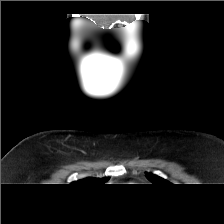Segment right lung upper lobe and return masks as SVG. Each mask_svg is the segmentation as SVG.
I'll return each mask as SVG.
<instances>
[{
  "label": "right lung upper lobe",
  "instance_id": "obj_1",
  "mask_svg": "<svg viewBox=\"0 0 224 224\" xmlns=\"http://www.w3.org/2000/svg\"><path fill=\"white\" fill-rule=\"evenodd\" d=\"M109 178H86V179H83V180H79L77 182H74V183H79V184H83V185H91L92 183H104L108 180Z\"/></svg>",
  "mask_w": 224,
  "mask_h": 224
}]
</instances>
